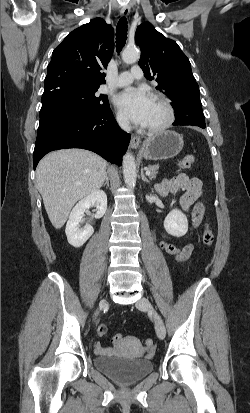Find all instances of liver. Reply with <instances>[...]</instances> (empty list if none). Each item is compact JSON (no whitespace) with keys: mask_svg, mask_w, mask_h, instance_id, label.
Instances as JSON below:
<instances>
[{"mask_svg":"<svg viewBox=\"0 0 250 413\" xmlns=\"http://www.w3.org/2000/svg\"><path fill=\"white\" fill-rule=\"evenodd\" d=\"M106 176V161L84 149H63L41 159L37 187L52 225L60 229L74 204L99 190Z\"/></svg>","mask_w":250,"mask_h":413,"instance_id":"liver-1","label":"liver"}]
</instances>
